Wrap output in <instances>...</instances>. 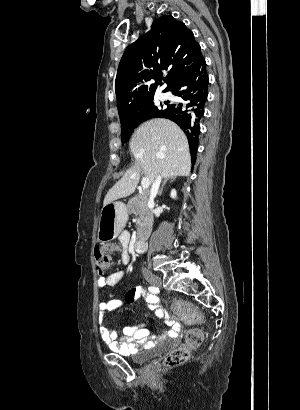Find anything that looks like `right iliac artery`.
Wrapping results in <instances>:
<instances>
[{"instance_id":"obj_1","label":"right iliac artery","mask_w":300,"mask_h":410,"mask_svg":"<svg viewBox=\"0 0 300 410\" xmlns=\"http://www.w3.org/2000/svg\"><path fill=\"white\" fill-rule=\"evenodd\" d=\"M148 290L151 292V293H153V294H158L160 291H159V288L158 287H155V286H150L149 288H148Z\"/></svg>"}]
</instances>
